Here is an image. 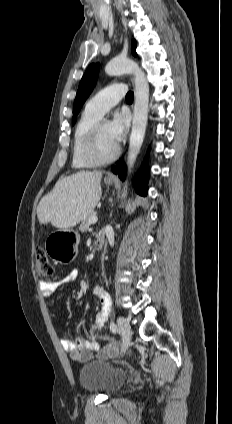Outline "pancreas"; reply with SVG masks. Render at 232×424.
Instances as JSON below:
<instances>
[{
  "label": "pancreas",
  "instance_id": "cf45deb5",
  "mask_svg": "<svg viewBox=\"0 0 232 424\" xmlns=\"http://www.w3.org/2000/svg\"><path fill=\"white\" fill-rule=\"evenodd\" d=\"M94 216H96V213L95 212H91L89 215H87L83 220H82V223H81V226H80V231H82V232H86L88 229H89V227H90V225H91V222H90V219L92 218V217H94Z\"/></svg>",
  "mask_w": 232,
  "mask_h": 424
}]
</instances>
